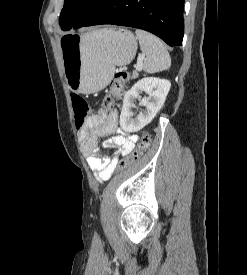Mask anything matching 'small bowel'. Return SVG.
<instances>
[{"mask_svg": "<svg viewBox=\"0 0 247 275\" xmlns=\"http://www.w3.org/2000/svg\"><path fill=\"white\" fill-rule=\"evenodd\" d=\"M79 137L82 149L87 155V163L100 182L109 179L119 159L132 152L139 139L136 134H126L121 130L116 110L106 113L103 109L87 119ZM98 137L106 138L103 146L114 151L111 156L101 154Z\"/></svg>", "mask_w": 247, "mask_h": 275, "instance_id": "obj_1", "label": "small bowel"}]
</instances>
